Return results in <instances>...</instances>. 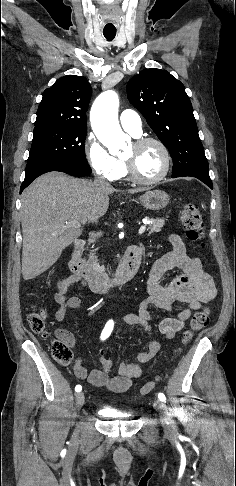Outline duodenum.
Wrapping results in <instances>:
<instances>
[{"label":"duodenum","mask_w":236,"mask_h":486,"mask_svg":"<svg viewBox=\"0 0 236 486\" xmlns=\"http://www.w3.org/2000/svg\"><path fill=\"white\" fill-rule=\"evenodd\" d=\"M83 246L82 240L74 242L69 267L72 273L84 281L94 292H105L125 284L135 276L139 269L142 252L137 245H131L126 249L123 262L113 276L88 267L82 257Z\"/></svg>","instance_id":"duodenum-1"}]
</instances>
